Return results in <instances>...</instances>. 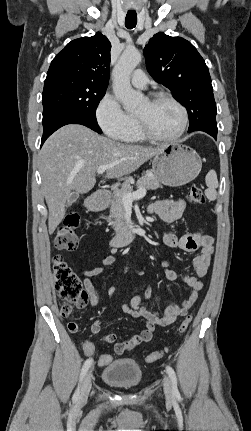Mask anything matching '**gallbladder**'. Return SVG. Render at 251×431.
Returning <instances> with one entry per match:
<instances>
[{"mask_svg": "<svg viewBox=\"0 0 251 431\" xmlns=\"http://www.w3.org/2000/svg\"><path fill=\"white\" fill-rule=\"evenodd\" d=\"M79 198V194L78 193H73L69 199L67 200V207H70L73 203L76 202V200Z\"/></svg>", "mask_w": 251, "mask_h": 431, "instance_id": "bac80fb5", "label": "gallbladder"}]
</instances>
